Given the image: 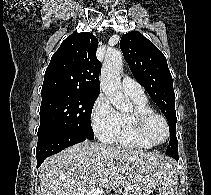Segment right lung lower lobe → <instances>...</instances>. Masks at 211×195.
Segmentation results:
<instances>
[{"label": "right lung lower lobe", "instance_id": "right-lung-lower-lobe-1", "mask_svg": "<svg viewBox=\"0 0 211 195\" xmlns=\"http://www.w3.org/2000/svg\"><path fill=\"white\" fill-rule=\"evenodd\" d=\"M85 140L91 139L85 134L77 132H57L38 139L36 148L37 168L50 155Z\"/></svg>", "mask_w": 211, "mask_h": 195}]
</instances>
